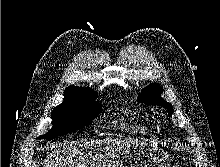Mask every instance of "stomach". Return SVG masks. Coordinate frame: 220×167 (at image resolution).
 <instances>
[{
  "mask_svg": "<svg viewBox=\"0 0 220 167\" xmlns=\"http://www.w3.org/2000/svg\"><path fill=\"white\" fill-rule=\"evenodd\" d=\"M113 167H170L166 154L153 142L125 145Z\"/></svg>",
  "mask_w": 220,
  "mask_h": 167,
  "instance_id": "0dacf381",
  "label": "stomach"
}]
</instances>
